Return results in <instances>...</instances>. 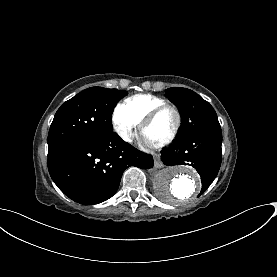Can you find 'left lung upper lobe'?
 I'll return each mask as SVG.
<instances>
[{
    "label": "left lung upper lobe",
    "instance_id": "obj_1",
    "mask_svg": "<svg viewBox=\"0 0 277 277\" xmlns=\"http://www.w3.org/2000/svg\"><path fill=\"white\" fill-rule=\"evenodd\" d=\"M165 93L181 115L182 127L178 138L205 130H221L213 107L194 91L173 87Z\"/></svg>",
    "mask_w": 277,
    "mask_h": 277
}]
</instances>
